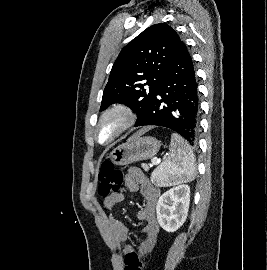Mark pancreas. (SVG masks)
Listing matches in <instances>:
<instances>
[{
    "label": "pancreas",
    "mask_w": 267,
    "mask_h": 270,
    "mask_svg": "<svg viewBox=\"0 0 267 270\" xmlns=\"http://www.w3.org/2000/svg\"><path fill=\"white\" fill-rule=\"evenodd\" d=\"M142 168H143L144 170H146V171L149 169V167H148L146 164H142ZM154 172H155V171H154ZM154 172L152 173V176H151V181H152L153 183H155V179L153 178Z\"/></svg>",
    "instance_id": "obj_1"
}]
</instances>
